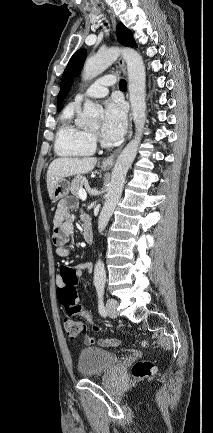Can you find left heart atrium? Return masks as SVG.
I'll use <instances>...</instances> for the list:
<instances>
[{
	"instance_id": "left-heart-atrium-1",
	"label": "left heart atrium",
	"mask_w": 213,
	"mask_h": 433,
	"mask_svg": "<svg viewBox=\"0 0 213 433\" xmlns=\"http://www.w3.org/2000/svg\"><path fill=\"white\" fill-rule=\"evenodd\" d=\"M126 125V111L123 104L116 99L108 100L104 109L103 136L110 141L118 140L124 134Z\"/></svg>"
}]
</instances>
